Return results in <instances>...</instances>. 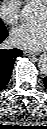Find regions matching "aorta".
<instances>
[{"label":"aorta","instance_id":"obj_1","mask_svg":"<svg viewBox=\"0 0 47 129\" xmlns=\"http://www.w3.org/2000/svg\"><path fill=\"white\" fill-rule=\"evenodd\" d=\"M21 16L24 20H31L35 16V8L30 4L25 5L23 7V9L21 10ZM39 65L43 71H46V69H47V57H46V55H42L40 57Z\"/></svg>","mask_w":47,"mask_h":129}]
</instances>
